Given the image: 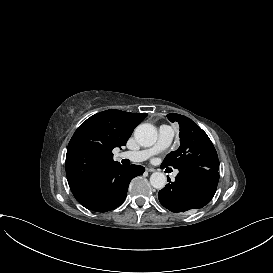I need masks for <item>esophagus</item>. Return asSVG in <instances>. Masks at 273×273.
<instances>
[{
	"label": "esophagus",
	"instance_id": "1",
	"mask_svg": "<svg viewBox=\"0 0 273 273\" xmlns=\"http://www.w3.org/2000/svg\"><path fill=\"white\" fill-rule=\"evenodd\" d=\"M146 171H147V172H155L156 170H155L154 168H149V167H147V168H146Z\"/></svg>",
	"mask_w": 273,
	"mask_h": 273
}]
</instances>
